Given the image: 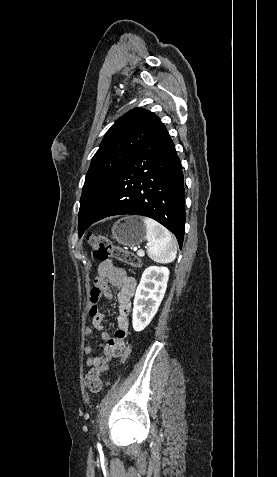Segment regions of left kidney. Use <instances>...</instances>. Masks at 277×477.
<instances>
[{
	"mask_svg": "<svg viewBox=\"0 0 277 477\" xmlns=\"http://www.w3.org/2000/svg\"><path fill=\"white\" fill-rule=\"evenodd\" d=\"M169 279V269L150 266L142 274L136 289L132 314L133 329L142 331L149 325L163 300Z\"/></svg>",
	"mask_w": 277,
	"mask_h": 477,
	"instance_id": "left-kidney-1",
	"label": "left kidney"
}]
</instances>
